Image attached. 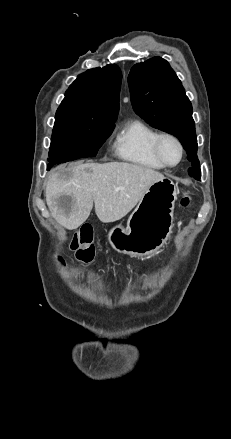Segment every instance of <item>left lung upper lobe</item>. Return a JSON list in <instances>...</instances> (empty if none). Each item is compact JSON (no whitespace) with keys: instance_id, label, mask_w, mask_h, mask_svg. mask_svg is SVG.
<instances>
[{"instance_id":"1","label":"left lung upper lobe","mask_w":231,"mask_h":439,"mask_svg":"<svg viewBox=\"0 0 231 439\" xmlns=\"http://www.w3.org/2000/svg\"><path fill=\"white\" fill-rule=\"evenodd\" d=\"M131 102L135 112L152 127L176 136L192 162L191 177L199 180L197 137L192 105L169 63L154 57L131 68L128 76Z\"/></svg>"}]
</instances>
